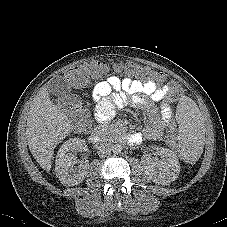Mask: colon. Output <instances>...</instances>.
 Returning <instances> with one entry per match:
<instances>
[{"label":"colon","mask_w":227,"mask_h":227,"mask_svg":"<svg viewBox=\"0 0 227 227\" xmlns=\"http://www.w3.org/2000/svg\"><path fill=\"white\" fill-rule=\"evenodd\" d=\"M110 70V62L108 60H101L100 62L85 63L68 70L65 75V81L73 88H82L88 81L92 73L95 72L97 78H104L106 72ZM113 70L115 72H122L123 74H130L131 72L139 75L145 76V78L151 82L156 81L158 84H162L165 81L164 76L160 75V71L154 68L140 67L138 65L132 64L131 62L115 61L113 63ZM182 93L181 88L172 83L168 93L167 100L174 101ZM63 109L74 115L76 118L77 125L80 128L88 127V113L80 101L76 97H70L62 102ZM167 135L165 137V143L169 150L174 151L177 149L176 139L178 137V130L174 122L169 121L165 125Z\"/></svg>","instance_id":"5ec220e1"}]
</instances>
